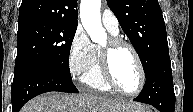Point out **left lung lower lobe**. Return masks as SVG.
Instances as JSON below:
<instances>
[{"label": "left lung lower lobe", "instance_id": "left-lung-lower-lobe-1", "mask_svg": "<svg viewBox=\"0 0 193 112\" xmlns=\"http://www.w3.org/2000/svg\"><path fill=\"white\" fill-rule=\"evenodd\" d=\"M135 101L150 104L160 112H174L175 94L169 51L163 52L146 75V82Z\"/></svg>", "mask_w": 193, "mask_h": 112}]
</instances>
